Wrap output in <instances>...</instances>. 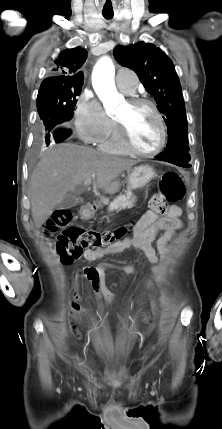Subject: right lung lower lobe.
I'll return each instance as SVG.
<instances>
[{
	"label": "right lung lower lobe",
	"mask_w": 222,
	"mask_h": 429,
	"mask_svg": "<svg viewBox=\"0 0 222 429\" xmlns=\"http://www.w3.org/2000/svg\"><path fill=\"white\" fill-rule=\"evenodd\" d=\"M71 135V130L67 128V125L57 127L56 129L47 133L45 140L47 145L50 143V139H54L56 142H61Z\"/></svg>",
	"instance_id": "obj_1"
}]
</instances>
